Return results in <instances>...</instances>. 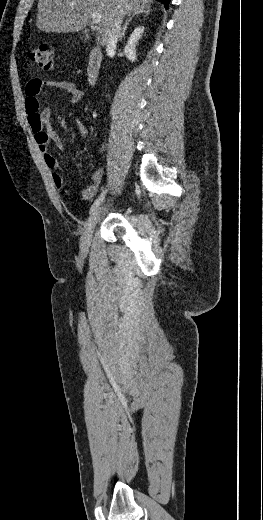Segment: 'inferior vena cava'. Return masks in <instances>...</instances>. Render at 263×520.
Wrapping results in <instances>:
<instances>
[{"label":"inferior vena cava","mask_w":263,"mask_h":520,"mask_svg":"<svg viewBox=\"0 0 263 520\" xmlns=\"http://www.w3.org/2000/svg\"><path fill=\"white\" fill-rule=\"evenodd\" d=\"M122 3L125 4V0H122ZM123 10L120 9V17L115 19L114 25L111 30V34L109 36L108 42H107V50L115 49L117 45L118 38L121 34V24L123 22Z\"/></svg>","instance_id":"obj_1"}]
</instances>
